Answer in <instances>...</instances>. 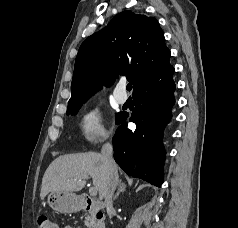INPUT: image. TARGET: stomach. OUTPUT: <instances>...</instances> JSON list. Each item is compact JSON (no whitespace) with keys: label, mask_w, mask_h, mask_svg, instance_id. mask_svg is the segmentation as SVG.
<instances>
[{"label":"stomach","mask_w":238,"mask_h":228,"mask_svg":"<svg viewBox=\"0 0 238 228\" xmlns=\"http://www.w3.org/2000/svg\"><path fill=\"white\" fill-rule=\"evenodd\" d=\"M50 207L60 213H72L80 209V201L73 192H51L48 195Z\"/></svg>","instance_id":"0dacf381"}]
</instances>
